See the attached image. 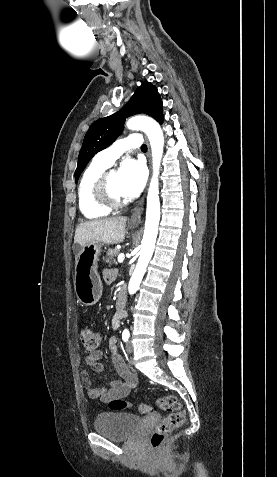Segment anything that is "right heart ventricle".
I'll return each instance as SVG.
<instances>
[{"label":"right heart ventricle","instance_id":"e07e8e85","mask_svg":"<svg viewBox=\"0 0 277 477\" xmlns=\"http://www.w3.org/2000/svg\"><path fill=\"white\" fill-rule=\"evenodd\" d=\"M108 167L94 160L84 171L78 186V204L84 217L97 219L107 216L111 210L100 206L93 198L92 188L97 178Z\"/></svg>","mask_w":277,"mask_h":477}]
</instances>
